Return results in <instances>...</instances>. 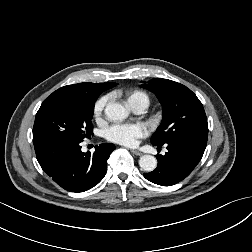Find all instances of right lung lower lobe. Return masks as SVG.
I'll return each instance as SVG.
<instances>
[{
  "label": "right lung lower lobe",
  "instance_id": "1",
  "mask_svg": "<svg viewBox=\"0 0 252 252\" xmlns=\"http://www.w3.org/2000/svg\"><path fill=\"white\" fill-rule=\"evenodd\" d=\"M34 148L41 168L59 186L71 192H84L103 179L115 146L100 144L93 154L83 153L79 142L43 141L34 143Z\"/></svg>",
  "mask_w": 252,
  "mask_h": 252
}]
</instances>
